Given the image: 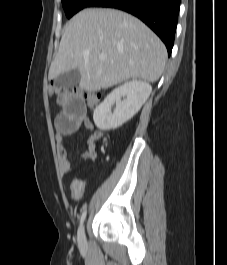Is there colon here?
Instances as JSON below:
<instances>
[{"instance_id":"1","label":"colon","mask_w":227,"mask_h":265,"mask_svg":"<svg viewBox=\"0 0 227 265\" xmlns=\"http://www.w3.org/2000/svg\"><path fill=\"white\" fill-rule=\"evenodd\" d=\"M76 91H81V96H85L86 105L88 107L95 106L99 101V96L96 94H93V93H90L87 91H83V90H78V89H76ZM48 93L51 97L62 96V92H60V87H58L54 84H51L48 87Z\"/></svg>"}]
</instances>
